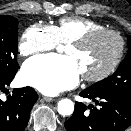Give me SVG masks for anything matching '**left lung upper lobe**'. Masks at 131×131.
I'll use <instances>...</instances> for the list:
<instances>
[{"mask_svg":"<svg viewBox=\"0 0 131 131\" xmlns=\"http://www.w3.org/2000/svg\"><path fill=\"white\" fill-rule=\"evenodd\" d=\"M87 90L92 93L120 96L131 100V36H128V53L116 72L93 84Z\"/></svg>","mask_w":131,"mask_h":131,"instance_id":"1","label":"left lung upper lobe"}]
</instances>
